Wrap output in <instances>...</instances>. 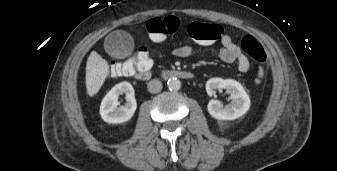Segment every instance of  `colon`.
Returning <instances> with one entry per match:
<instances>
[{"instance_id":"colon-1","label":"colon","mask_w":337,"mask_h":171,"mask_svg":"<svg viewBox=\"0 0 337 171\" xmlns=\"http://www.w3.org/2000/svg\"><path fill=\"white\" fill-rule=\"evenodd\" d=\"M179 27L175 16L154 17L147 22V31L151 39L162 41L174 34ZM222 28L217 24L194 21L188 26L187 33L195 41L210 45L220 39ZM243 51L257 64V82H262L266 73V54L259 41L251 35L242 38ZM151 59L147 49L136 48L132 55L124 61L114 62L109 69L111 76H130L140 69L149 68Z\"/></svg>"}]
</instances>
